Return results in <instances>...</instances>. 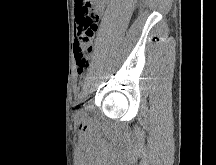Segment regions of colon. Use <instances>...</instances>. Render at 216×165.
Returning <instances> with one entry per match:
<instances>
[{"instance_id":"5ec220e1","label":"colon","mask_w":216,"mask_h":165,"mask_svg":"<svg viewBox=\"0 0 216 165\" xmlns=\"http://www.w3.org/2000/svg\"><path fill=\"white\" fill-rule=\"evenodd\" d=\"M83 17L76 30L75 57L79 70L87 68L93 50V39L98 28V17L90 10L82 11Z\"/></svg>"}]
</instances>
